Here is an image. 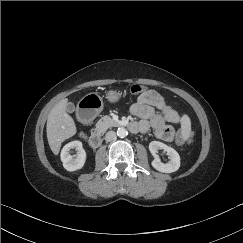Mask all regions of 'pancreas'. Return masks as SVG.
Returning a JSON list of instances; mask_svg holds the SVG:
<instances>
[{
  "instance_id": "cf45deb5",
  "label": "pancreas",
  "mask_w": 243,
  "mask_h": 243,
  "mask_svg": "<svg viewBox=\"0 0 243 243\" xmlns=\"http://www.w3.org/2000/svg\"><path fill=\"white\" fill-rule=\"evenodd\" d=\"M116 123L109 116L102 117L95 126V130L99 133H104L108 128L114 126Z\"/></svg>"
}]
</instances>
